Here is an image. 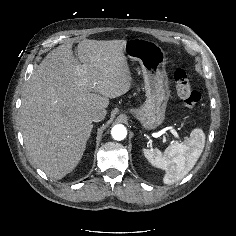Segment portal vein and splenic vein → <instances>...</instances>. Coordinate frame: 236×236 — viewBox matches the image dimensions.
<instances>
[{
	"mask_svg": "<svg viewBox=\"0 0 236 236\" xmlns=\"http://www.w3.org/2000/svg\"><path fill=\"white\" fill-rule=\"evenodd\" d=\"M170 132L174 135V137H175L176 139L180 140V136H179V134L176 132V130L171 129Z\"/></svg>",
	"mask_w": 236,
	"mask_h": 236,
	"instance_id": "18ae733b",
	"label": "portal vein and splenic vein"
}]
</instances>
